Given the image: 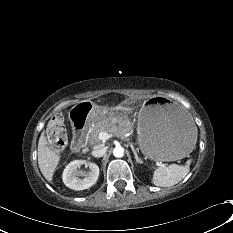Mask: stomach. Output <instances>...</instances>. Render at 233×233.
I'll use <instances>...</instances> for the list:
<instances>
[{
  "mask_svg": "<svg viewBox=\"0 0 233 233\" xmlns=\"http://www.w3.org/2000/svg\"><path fill=\"white\" fill-rule=\"evenodd\" d=\"M89 118L99 123L116 120L117 114L98 109ZM137 130L140 149L151 160L182 159L198 147L199 131L194 116L164 98H153L143 104Z\"/></svg>",
  "mask_w": 233,
  "mask_h": 233,
  "instance_id": "obj_1",
  "label": "stomach"
}]
</instances>
